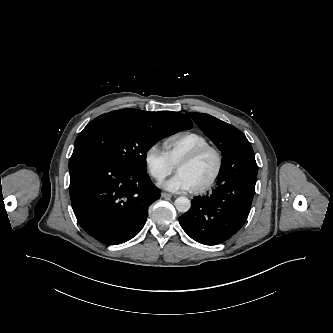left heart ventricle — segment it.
<instances>
[{"label":"left heart ventricle","instance_id":"obj_1","mask_svg":"<svg viewBox=\"0 0 333 333\" xmlns=\"http://www.w3.org/2000/svg\"><path fill=\"white\" fill-rule=\"evenodd\" d=\"M216 167V159L212 153H206L198 160L181 165L178 172L184 174L194 188L204 184L213 174Z\"/></svg>","mask_w":333,"mask_h":333}]
</instances>
